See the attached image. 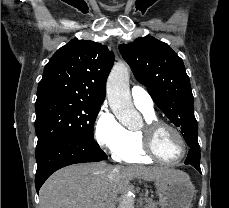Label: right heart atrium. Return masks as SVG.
Returning a JSON list of instances; mask_svg holds the SVG:
<instances>
[{
    "label": "right heart atrium",
    "instance_id": "obj_1",
    "mask_svg": "<svg viewBox=\"0 0 229 208\" xmlns=\"http://www.w3.org/2000/svg\"><path fill=\"white\" fill-rule=\"evenodd\" d=\"M93 136L103 150L114 155L129 146L126 129L107 106H102L95 117Z\"/></svg>",
    "mask_w": 229,
    "mask_h": 208
}]
</instances>
